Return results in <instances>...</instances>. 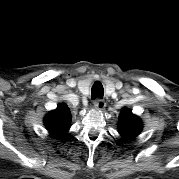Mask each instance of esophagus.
Returning a JSON list of instances; mask_svg holds the SVG:
<instances>
[{
  "label": "esophagus",
  "mask_w": 179,
  "mask_h": 179,
  "mask_svg": "<svg viewBox=\"0 0 179 179\" xmlns=\"http://www.w3.org/2000/svg\"><path fill=\"white\" fill-rule=\"evenodd\" d=\"M106 106V103L104 100L102 99H99L97 98L95 101H94V107L98 110H103Z\"/></svg>",
  "instance_id": "obj_1"
}]
</instances>
